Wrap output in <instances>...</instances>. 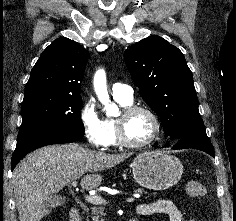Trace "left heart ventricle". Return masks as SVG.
<instances>
[{
	"mask_svg": "<svg viewBox=\"0 0 236 221\" xmlns=\"http://www.w3.org/2000/svg\"><path fill=\"white\" fill-rule=\"evenodd\" d=\"M155 125L152 118L144 113L138 112L128 118L125 126L127 138L136 143L148 140L154 133Z\"/></svg>",
	"mask_w": 236,
	"mask_h": 221,
	"instance_id": "left-heart-ventricle-1",
	"label": "left heart ventricle"
}]
</instances>
